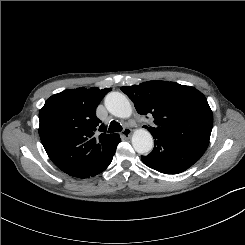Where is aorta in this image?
Listing matches in <instances>:
<instances>
[{
    "instance_id": "obj_1",
    "label": "aorta",
    "mask_w": 245,
    "mask_h": 245,
    "mask_svg": "<svg viewBox=\"0 0 245 245\" xmlns=\"http://www.w3.org/2000/svg\"><path fill=\"white\" fill-rule=\"evenodd\" d=\"M105 107L109 113L119 118H128L132 107L127 97L120 92H110L105 97ZM132 145L139 154H148L153 148V138L145 129L136 130L132 136Z\"/></svg>"
}]
</instances>
